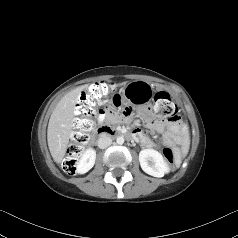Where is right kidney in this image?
I'll use <instances>...</instances> for the list:
<instances>
[{
  "mask_svg": "<svg viewBox=\"0 0 238 238\" xmlns=\"http://www.w3.org/2000/svg\"><path fill=\"white\" fill-rule=\"evenodd\" d=\"M96 151L94 149H87L81 156L77 164V172L84 174L88 172L95 164Z\"/></svg>",
  "mask_w": 238,
  "mask_h": 238,
  "instance_id": "right-kidney-1",
  "label": "right kidney"
}]
</instances>
